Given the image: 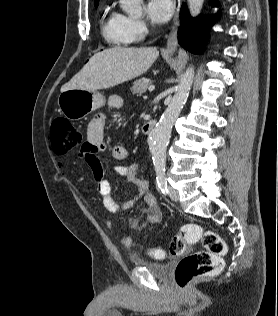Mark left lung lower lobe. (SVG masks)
I'll use <instances>...</instances> for the list:
<instances>
[{
	"instance_id": "left-lung-lower-lobe-1",
	"label": "left lung lower lobe",
	"mask_w": 278,
	"mask_h": 316,
	"mask_svg": "<svg viewBox=\"0 0 278 316\" xmlns=\"http://www.w3.org/2000/svg\"><path fill=\"white\" fill-rule=\"evenodd\" d=\"M210 3L215 5L216 0H211ZM217 17L218 16L215 15L211 17L199 16L192 18L186 5H183L180 14V29L178 32L179 44L194 54L201 53L208 37V28Z\"/></svg>"
}]
</instances>
